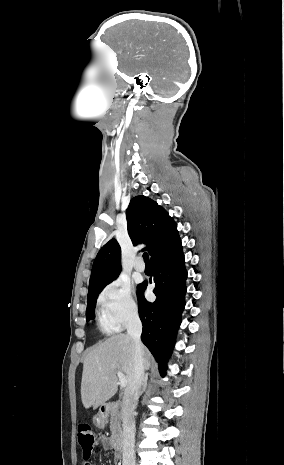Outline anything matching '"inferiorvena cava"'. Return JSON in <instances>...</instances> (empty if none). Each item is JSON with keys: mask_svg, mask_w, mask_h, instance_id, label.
<instances>
[{"mask_svg": "<svg viewBox=\"0 0 284 465\" xmlns=\"http://www.w3.org/2000/svg\"><path fill=\"white\" fill-rule=\"evenodd\" d=\"M142 323L138 315H130L127 335L133 339L132 381L128 385L122 401L123 461L122 465H135V419L134 411L144 381L143 345L141 343Z\"/></svg>", "mask_w": 284, "mask_h": 465, "instance_id": "602c4592", "label": "inferior vena cava"}]
</instances>
